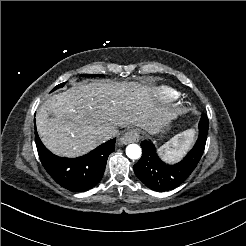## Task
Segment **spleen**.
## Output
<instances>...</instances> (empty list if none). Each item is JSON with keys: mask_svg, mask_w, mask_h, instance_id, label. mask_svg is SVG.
Segmentation results:
<instances>
[{"mask_svg": "<svg viewBox=\"0 0 246 246\" xmlns=\"http://www.w3.org/2000/svg\"><path fill=\"white\" fill-rule=\"evenodd\" d=\"M196 131L190 128L175 135L168 142L159 148V153L166 162H175L180 160L183 155L190 149Z\"/></svg>", "mask_w": 246, "mask_h": 246, "instance_id": "3e777b00", "label": "spleen"}]
</instances>
